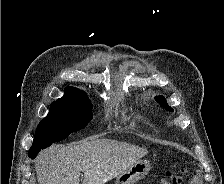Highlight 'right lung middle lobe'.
<instances>
[{
  "instance_id": "obj_1",
  "label": "right lung middle lobe",
  "mask_w": 224,
  "mask_h": 184,
  "mask_svg": "<svg viewBox=\"0 0 224 184\" xmlns=\"http://www.w3.org/2000/svg\"><path fill=\"white\" fill-rule=\"evenodd\" d=\"M92 105L88 98L81 101H54L48 115L40 121L29 152L38 154L70 133L83 129L92 119Z\"/></svg>"
}]
</instances>
